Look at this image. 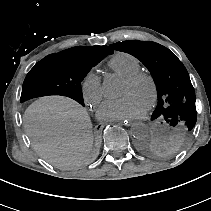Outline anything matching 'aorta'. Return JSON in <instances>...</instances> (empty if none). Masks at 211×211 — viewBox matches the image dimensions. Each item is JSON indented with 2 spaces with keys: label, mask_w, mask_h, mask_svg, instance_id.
Wrapping results in <instances>:
<instances>
[{
  "label": "aorta",
  "mask_w": 211,
  "mask_h": 211,
  "mask_svg": "<svg viewBox=\"0 0 211 211\" xmlns=\"http://www.w3.org/2000/svg\"><path fill=\"white\" fill-rule=\"evenodd\" d=\"M102 89L107 98L114 99L122 95L124 84L118 77L109 76L103 81ZM131 134L137 140L144 139L148 136L147 126L142 122H136L131 126Z\"/></svg>",
  "instance_id": "762f6f07"
}]
</instances>
